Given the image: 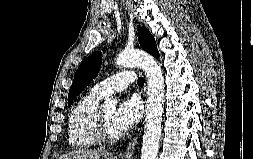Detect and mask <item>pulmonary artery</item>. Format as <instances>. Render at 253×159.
Returning a JSON list of instances; mask_svg holds the SVG:
<instances>
[{
	"mask_svg": "<svg viewBox=\"0 0 253 159\" xmlns=\"http://www.w3.org/2000/svg\"><path fill=\"white\" fill-rule=\"evenodd\" d=\"M134 81L135 73L131 69H126L95 84L91 91L101 97H107L112 93L123 91Z\"/></svg>",
	"mask_w": 253,
	"mask_h": 159,
	"instance_id": "pulmonary-artery-1",
	"label": "pulmonary artery"
}]
</instances>
